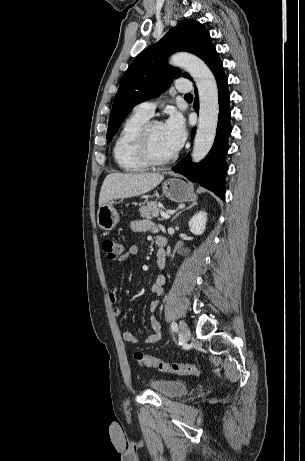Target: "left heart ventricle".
Segmentation results:
<instances>
[{"label": "left heart ventricle", "instance_id": "b2bd125f", "mask_svg": "<svg viewBox=\"0 0 305 461\" xmlns=\"http://www.w3.org/2000/svg\"><path fill=\"white\" fill-rule=\"evenodd\" d=\"M150 150L156 158H165L175 152L166 140L163 125H157L152 129Z\"/></svg>", "mask_w": 305, "mask_h": 461}]
</instances>
